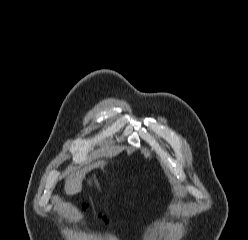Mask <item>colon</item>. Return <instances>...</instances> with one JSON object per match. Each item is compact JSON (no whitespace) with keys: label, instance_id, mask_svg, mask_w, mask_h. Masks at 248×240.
I'll list each match as a JSON object with an SVG mask.
<instances>
[{"label":"colon","instance_id":"colon-1","mask_svg":"<svg viewBox=\"0 0 248 240\" xmlns=\"http://www.w3.org/2000/svg\"><path fill=\"white\" fill-rule=\"evenodd\" d=\"M84 208H86V205H84ZM105 219V218H104ZM105 221H107L106 219H105Z\"/></svg>","mask_w":248,"mask_h":240}]
</instances>
